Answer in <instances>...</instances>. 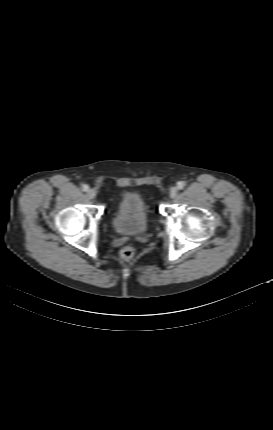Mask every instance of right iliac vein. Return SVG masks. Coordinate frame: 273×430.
Listing matches in <instances>:
<instances>
[{"label":"right iliac vein","mask_w":273,"mask_h":430,"mask_svg":"<svg viewBox=\"0 0 273 430\" xmlns=\"http://www.w3.org/2000/svg\"><path fill=\"white\" fill-rule=\"evenodd\" d=\"M87 196H88V198H89V199H93V198H95V196H96V191H95L94 189H89V190L87 191Z\"/></svg>","instance_id":"right-iliac-vein-1"}]
</instances>
